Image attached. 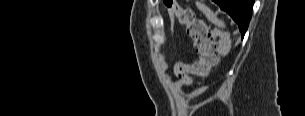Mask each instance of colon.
Wrapping results in <instances>:
<instances>
[{
  "label": "colon",
  "mask_w": 305,
  "mask_h": 116,
  "mask_svg": "<svg viewBox=\"0 0 305 116\" xmlns=\"http://www.w3.org/2000/svg\"><path fill=\"white\" fill-rule=\"evenodd\" d=\"M165 2L169 11L181 24L186 26L197 53L193 62L175 65V76L186 83H192L193 77L206 78L218 59L214 36L208 32L204 21L197 17L191 9L183 8L176 0H166Z\"/></svg>",
  "instance_id": "colon-1"
}]
</instances>
